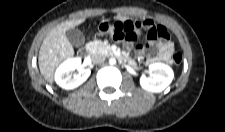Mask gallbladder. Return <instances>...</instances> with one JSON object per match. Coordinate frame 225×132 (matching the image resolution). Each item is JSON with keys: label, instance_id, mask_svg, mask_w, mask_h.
I'll return each instance as SVG.
<instances>
[{"label": "gallbladder", "instance_id": "1", "mask_svg": "<svg viewBox=\"0 0 225 132\" xmlns=\"http://www.w3.org/2000/svg\"><path fill=\"white\" fill-rule=\"evenodd\" d=\"M66 36L69 42L75 47L82 46L85 42L83 33L78 29L73 28V29L67 30Z\"/></svg>", "mask_w": 225, "mask_h": 132}]
</instances>
